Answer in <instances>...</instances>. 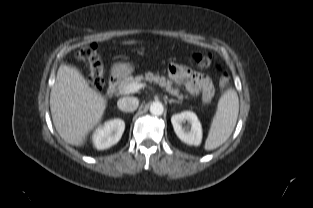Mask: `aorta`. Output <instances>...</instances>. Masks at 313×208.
I'll return each mask as SVG.
<instances>
[{"label":"aorta","instance_id":"obj_1","mask_svg":"<svg viewBox=\"0 0 313 208\" xmlns=\"http://www.w3.org/2000/svg\"><path fill=\"white\" fill-rule=\"evenodd\" d=\"M163 111H164V107L161 102H158V101L153 102L150 106V112L153 115H157V116L162 115Z\"/></svg>","mask_w":313,"mask_h":208}]
</instances>
